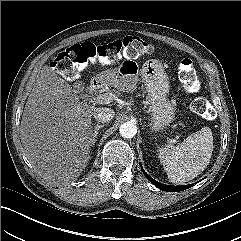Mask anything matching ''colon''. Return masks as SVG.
I'll return each instance as SVG.
<instances>
[{
    "label": "colon",
    "mask_w": 241,
    "mask_h": 241,
    "mask_svg": "<svg viewBox=\"0 0 241 241\" xmlns=\"http://www.w3.org/2000/svg\"><path fill=\"white\" fill-rule=\"evenodd\" d=\"M152 51L153 46L150 43L136 36H128L122 40L98 46L84 42L59 53L51 62V66L65 79L72 81L89 63L112 64L122 57L136 59ZM178 69L184 89L189 93L198 92L200 84L195 74L193 61L184 58ZM191 108L199 115H208L209 108L204 98L194 99Z\"/></svg>",
    "instance_id": "5ec220e1"
}]
</instances>
